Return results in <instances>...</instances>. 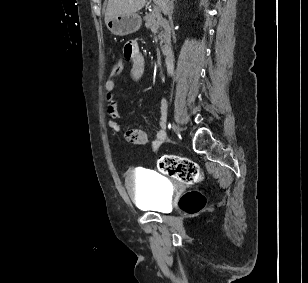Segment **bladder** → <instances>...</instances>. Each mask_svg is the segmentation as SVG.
Listing matches in <instances>:
<instances>
[{
	"mask_svg": "<svg viewBox=\"0 0 308 283\" xmlns=\"http://www.w3.org/2000/svg\"><path fill=\"white\" fill-rule=\"evenodd\" d=\"M126 190L140 208L162 212L168 204L169 186L162 176L152 170L138 168L127 173Z\"/></svg>",
	"mask_w": 308,
	"mask_h": 283,
	"instance_id": "1",
	"label": "bladder"
}]
</instances>
